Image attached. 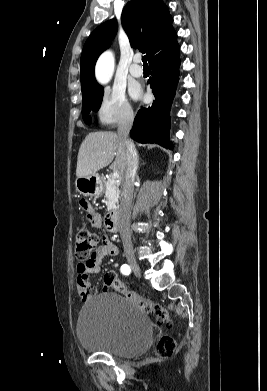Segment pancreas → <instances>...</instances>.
<instances>
[{"instance_id": "1", "label": "pancreas", "mask_w": 267, "mask_h": 391, "mask_svg": "<svg viewBox=\"0 0 267 391\" xmlns=\"http://www.w3.org/2000/svg\"><path fill=\"white\" fill-rule=\"evenodd\" d=\"M101 180L104 184L105 195L112 202V208L116 207L120 194V183L117 182L116 179H113L111 176L109 178L102 177Z\"/></svg>"}]
</instances>
